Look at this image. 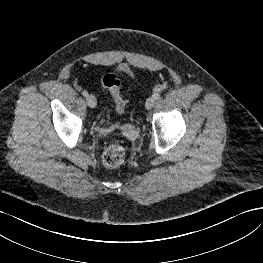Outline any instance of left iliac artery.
Listing matches in <instances>:
<instances>
[{
    "label": "left iliac artery",
    "mask_w": 263,
    "mask_h": 263,
    "mask_svg": "<svg viewBox=\"0 0 263 263\" xmlns=\"http://www.w3.org/2000/svg\"><path fill=\"white\" fill-rule=\"evenodd\" d=\"M153 97H154L155 99L160 98V93H158V92L154 93Z\"/></svg>",
    "instance_id": "obj_1"
}]
</instances>
